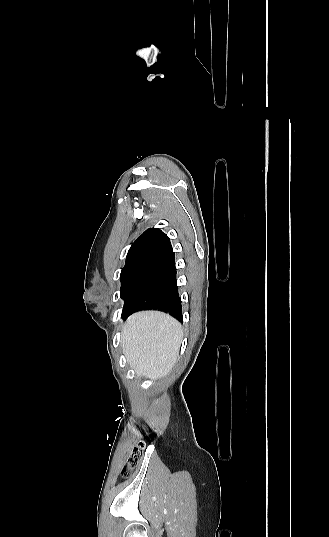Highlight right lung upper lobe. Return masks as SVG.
<instances>
[{
  "label": "right lung upper lobe",
  "mask_w": 329,
  "mask_h": 537,
  "mask_svg": "<svg viewBox=\"0 0 329 537\" xmlns=\"http://www.w3.org/2000/svg\"><path fill=\"white\" fill-rule=\"evenodd\" d=\"M170 251H172V246L167 235L159 229L150 228L131 245L126 257V265L150 264Z\"/></svg>",
  "instance_id": "cb5924a9"
}]
</instances>
